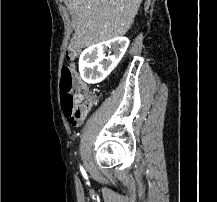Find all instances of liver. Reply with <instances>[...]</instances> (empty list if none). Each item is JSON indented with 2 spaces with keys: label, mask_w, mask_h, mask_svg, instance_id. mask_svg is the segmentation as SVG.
Here are the masks:
<instances>
[{
  "label": "liver",
  "mask_w": 217,
  "mask_h": 202,
  "mask_svg": "<svg viewBox=\"0 0 217 202\" xmlns=\"http://www.w3.org/2000/svg\"><path fill=\"white\" fill-rule=\"evenodd\" d=\"M75 22V44L86 48L128 32L142 0H65Z\"/></svg>",
  "instance_id": "liver-1"
}]
</instances>
